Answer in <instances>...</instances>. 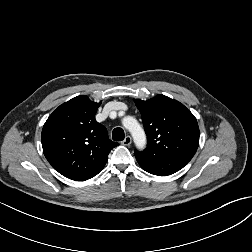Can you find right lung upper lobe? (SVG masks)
Here are the masks:
<instances>
[{
	"mask_svg": "<svg viewBox=\"0 0 252 252\" xmlns=\"http://www.w3.org/2000/svg\"><path fill=\"white\" fill-rule=\"evenodd\" d=\"M100 104L77 96L60 105L43 126L44 155L67 178L78 180L102 170L109 152L118 145L95 120Z\"/></svg>",
	"mask_w": 252,
	"mask_h": 252,
	"instance_id": "right-lung-upper-lobe-1",
	"label": "right lung upper lobe"
}]
</instances>
